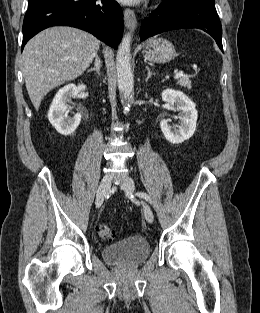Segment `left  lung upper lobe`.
Instances as JSON below:
<instances>
[{
  "label": "left lung upper lobe",
  "instance_id": "left-lung-upper-lobe-1",
  "mask_svg": "<svg viewBox=\"0 0 260 313\" xmlns=\"http://www.w3.org/2000/svg\"><path fill=\"white\" fill-rule=\"evenodd\" d=\"M194 1H202L210 4H214V0H194Z\"/></svg>",
  "mask_w": 260,
  "mask_h": 313
}]
</instances>
